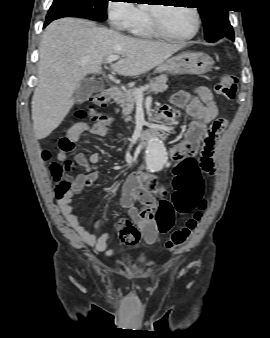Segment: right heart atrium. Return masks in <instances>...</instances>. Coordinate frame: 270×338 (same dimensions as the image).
<instances>
[{"label":"right heart atrium","mask_w":270,"mask_h":338,"mask_svg":"<svg viewBox=\"0 0 270 338\" xmlns=\"http://www.w3.org/2000/svg\"><path fill=\"white\" fill-rule=\"evenodd\" d=\"M108 15L112 25L121 30L140 20L138 9L128 1L115 2L108 7Z\"/></svg>","instance_id":"d8ad5b80"}]
</instances>
